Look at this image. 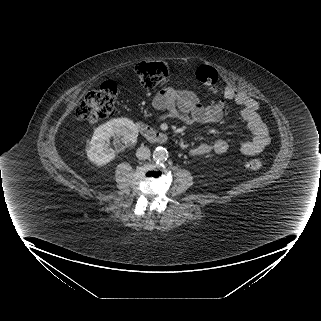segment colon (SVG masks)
Instances as JSON below:
<instances>
[{"label":"colon","mask_w":321,"mask_h":321,"mask_svg":"<svg viewBox=\"0 0 321 321\" xmlns=\"http://www.w3.org/2000/svg\"><path fill=\"white\" fill-rule=\"evenodd\" d=\"M196 78L206 86L211 93L218 90L219 75L217 70L209 65H202L196 70ZM136 75L145 87H154L168 79L170 69L161 61L142 62L136 67ZM118 89L113 81H105L95 90L90 91L80 102L75 110V116L79 120L98 122L113 115L114 105L117 100ZM263 166V160L254 158L248 161L247 167L251 170H259Z\"/></svg>","instance_id":"5ec220e1"}]
</instances>
